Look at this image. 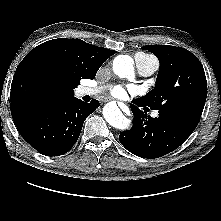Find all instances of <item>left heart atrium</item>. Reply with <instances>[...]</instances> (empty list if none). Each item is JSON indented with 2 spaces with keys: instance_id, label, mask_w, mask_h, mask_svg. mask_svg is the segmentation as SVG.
<instances>
[{
  "instance_id": "left-heart-atrium-1",
  "label": "left heart atrium",
  "mask_w": 221,
  "mask_h": 221,
  "mask_svg": "<svg viewBox=\"0 0 221 221\" xmlns=\"http://www.w3.org/2000/svg\"><path fill=\"white\" fill-rule=\"evenodd\" d=\"M112 95L118 98H122L125 96L126 92L121 86H116L111 91Z\"/></svg>"
}]
</instances>
